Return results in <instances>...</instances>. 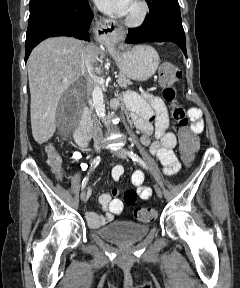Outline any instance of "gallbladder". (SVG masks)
I'll use <instances>...</instances> for the list:
<instances>
[{"instance_id":"1","label":"gallbladder","mask_w":240,"mask_h":288,"mask_svg":"<svg viewBox=\"0 0 240 288\" xmlns=\"http://www.w3.org/2000/svg\"><path fill=\"white\" fill-rule=\"evenodd\" d=\"M75 110V107L70 104L68 97L64 95L60 100L57 108V118L62 120L63 117H69Z\"/></svg>"}]
</instances>
